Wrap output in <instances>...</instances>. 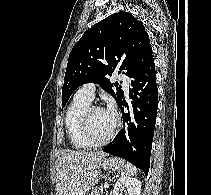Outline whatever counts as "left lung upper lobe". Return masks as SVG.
Returning <instances> with one entry per match:
<instances>
[{"label": "left lung upper lobe", "instance_id": "obj_1", "mask_svg": "<svg viewBox=\"0 0 211 195\" xmlns=\"http://www.w3.org/2000/svg\"><path fill=\"white\" fill-rule=\"evenodd\" d=\"M152 58L149 36L141 21L125 11L108 16L84 32L72 48L62 88V107L85 83L99 84L119 105L124 92L109 77L118 68L119 74L133 78Z\"/></svg>", "mask_w": 211, "mask_h": 195}]
</instances>
